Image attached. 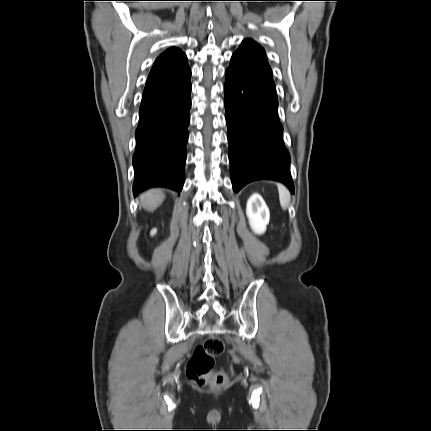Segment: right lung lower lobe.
<instances>
[{
    "instance_id": "1",
    "label": "right lung lower lobe",
    "mask_w": 431,
    "mask_h": 431,
    "mask_svg": "<svg viewBox=\"0 0 431 431\" xmlns=\"http://www.w3.org/2000/svg\"><path fill=\"white\" fill-rule=\"evenodd\" d=\"M190 75L166 92L142 100L135 132L134 196L151 187L182 190L191 107Z\"/></svg>"
}]
</instances>
